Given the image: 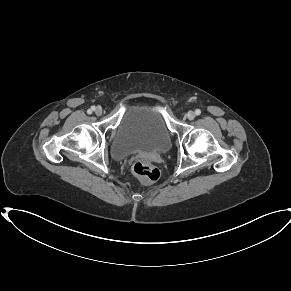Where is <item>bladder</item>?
Listing matches in <instances>:
<instances>
[{
    "label": "bladder",
    "instance_id": "obj_1",
    "mask_svg": "<svg viewBox=\"0 0 291 291\" xmlns=\"http://www.w3.org/2000/svg\"><path fill=\"white\" fill-rule=\"evenodd\" d=\"M171 140L161 110L151 101L140 100L121 119L110 153L121 159L135 153L163 152L170 147Z\"/></svg>",
    "mask_w": 291,
    "mask_h": 291
}]
</instances>
